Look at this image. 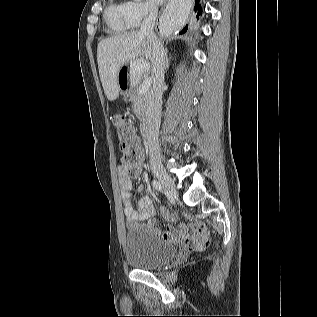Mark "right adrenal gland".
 Returning <instances> with one entry per match:
<instances>
[{
	"label": "right adrenal gland",
	"mask_w": 317,
	"mask_h": 317,
	"mask_svg": "<svg viewBox=\"0 0 317 317\" xmlns=\"http://www.w3.org/2000/svg\"><path fill=\"white\" fill-rule=\"evenodd\" d=\"M167 53H168V51H167V49H165V61H166V63H165V69H166V71H167V69L169 68V58H168Z\"/></svg>",
	"instance_id": "1"
}]
</instances>
